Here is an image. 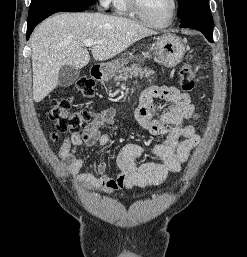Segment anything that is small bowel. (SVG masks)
<instances>
[{"instance_id":"obj_1","label":"small bowel","mask_w":247,"mask_h":257,"mask_svg":"<svg viewBox=\"0 0 247 257\" xmlns=\"http://www.w3.org/2000/svg\"><path fill=\"white\" fill-rule=\"evenodd\" d=\"M156 98L168 103L167 107L154 106ZM135 117L144 129L153 135L164 136V139L150 149L136 143L124 144L119 149L117 164L120 172L116 176L108 175L102 163L96 165L98 175L82 173L85 159L79 156L80 147L104 146L110 141V136L102 133L101 129L107 124H114L116 112L112 108L103 109L94 115L82 132H73L64 139L58 156L69 173L85 187L102 189L105 193L123 188L157 186L169 175L179 173L191 150L200 143L199 135L189 123L197 117L189 94L174 87H148L140 96ZM146 153L159 161L139 164L138 159Z\"/></svg>"}]
</instances>
